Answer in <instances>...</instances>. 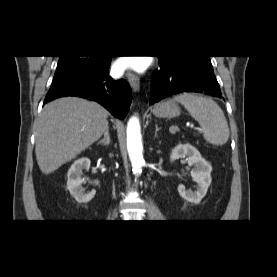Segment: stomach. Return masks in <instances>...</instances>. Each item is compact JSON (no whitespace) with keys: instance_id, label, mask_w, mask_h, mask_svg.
<instances>
[{"instance_id":"1","label":"stomach","mask_w":277,"mask_h":277,"mask_svg":"<svg viewBox=\"0 0 277 277\" xmlns=\"http://www.w3.org/2000/svg\"><path fill=\"white\" fill-rule=\"evenodd\" d=\"M153 114L157 117L174 118L180 115V107L173 101H164L154 107Z\"/></svg>"}]
</instances>
